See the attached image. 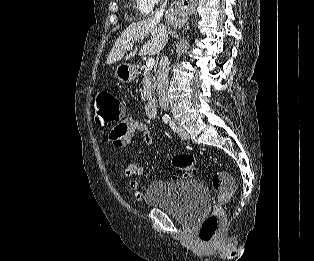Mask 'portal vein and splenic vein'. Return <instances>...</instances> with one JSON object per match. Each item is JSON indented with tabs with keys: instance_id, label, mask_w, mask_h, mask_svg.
Masks as SVG:
<instances>
[{
	"instance_id": "18ae733b",
	"label": "portal vein and splenic vein",
	"mask_w": 314,
	"mask_h": 261,
	"mask_svg": "<svg viewBox=\"0 0 314 261\" xmlns=\"http://www.w3.org/2000/svg\"><path fill=\"white\" fill-rule=\"evenodd\" d=\"M132 46L127 47L128 50H130ZM155 66V59L154 58H148L146 61V67L147 68H153Z\"/></svg>"
}]
</instances>
